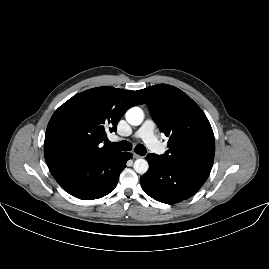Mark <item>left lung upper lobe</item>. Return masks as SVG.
Listing matches in <instances>:
<instances>
[{
	"instance_id": "obj_1",
	"label": "left lung upper lobe",
	"mask_w": 269,
	"mask_h": 269,
	"mask_svg": "<svg viewBox=\"0 0 269 269\" xmlns=\"http://www.w3.org/2000/svg\"><path fill=\"white\" fill-rule=\"evenodd\" d=\"M160 131L169 137V150L155 155L162 161L209 175L215 154L211 125L200 107L180 89L159 84L137 91Z\"/></svg>"
}]
</instances>
